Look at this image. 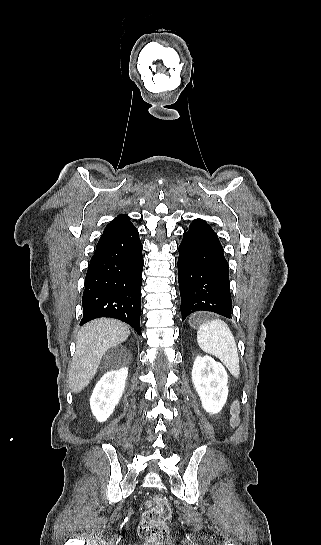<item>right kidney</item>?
Wrapping results in <instances>:
<instances>
[{
    "label": "right kidney",
    "instance_id": "obj_1",
    "mask_svg": "<svg viewBox=\"0 0 321 545\" xmlns=\"http://www.w3.org/2000/svg\"><path fill=\"white\" fill-rule=\"evenodd\" d=\"M128 375V369L109 371L98 381L90 399L91 411L99 423L107 421L118 405Z\"/></svg>",
    "mask_w": 321,
    "mask_h": 545
}]
</instances>
